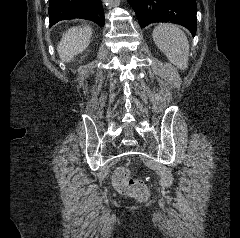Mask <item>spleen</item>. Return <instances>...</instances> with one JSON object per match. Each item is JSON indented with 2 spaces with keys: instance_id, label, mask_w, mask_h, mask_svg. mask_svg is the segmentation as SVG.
Masks as SVG:
<instances>
[{
  "instance_id": "1",
  "label": "spleen",
  "mask_w": 240,
  "mask_h": 238,
  "mask_svg": "<svg viewBox=\"0 0 240 238\" xmlns=\"http://www.w3.org/2000/svg\"><path fill=\"white\" fill-rule=\"evenodd\" d=\"M153 40L171 63L185 70L189 60V42L176 25L161 23L153 30Z\"/></svg>"
}]
</instances>
